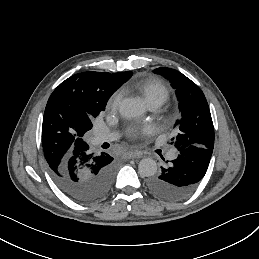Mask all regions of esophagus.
Masks as SVG:
<instances>
[{"instance_id":"34e87169","label":"esophagus","mask_w":259,"mask_h":259,"mask_svg":"<svg viewBox=\"0 0 259 259\" xmlns=\"http://www.w3.org/2000/svg\"><path fill=\"white\" fill-rule=\"evenodd\" d=\"M125 157L127 159H137L142 157V152H135V151H128L125 154Z\"/></svg>"}]
</instances>
